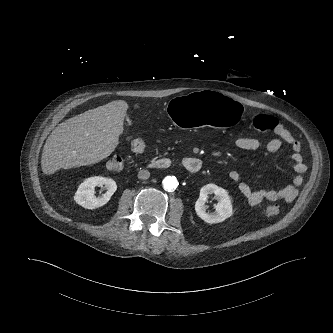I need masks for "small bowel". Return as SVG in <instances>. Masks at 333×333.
Wrapping results in <instances>:
<instances>
[{
  "label": "small bowel",
  "instance_id": "c3829d8e",
  "mask_svg": "<svg viewBox=\"0 0 333 333\" xmlns=\"http://www.w3.org/2000/svg\"><path fill=\"white\" fill-rule=\"evenodd\" d=\"M273 131L276 137L266 143L253 137L240 136L235 139V145L244 151L266 150L267 152L275 153L280 150L283 143H286L292 149L291 162L297 174L292 183L283 189H253L249 184L241 181V175L237 170H231L228 174L229 179L238 183V191L251 206L258 205L263 201L283 200L287 203L292 202L298 194L299 187L303 181V174L306 172V166L301 154L302 146L298 139L282 123L276 121ZM129 150L136 154H143L147 150V144L143 138H136L129 143Z\"/></svg>",
  "mask_w": 333,
  "mask_h": 333
}]
</instances>
